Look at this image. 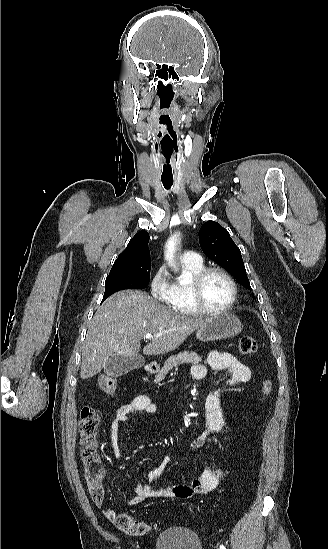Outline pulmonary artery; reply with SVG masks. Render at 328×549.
I'll list each match as a JSON object with an SVG mask.
<instances>
[{
  "mask_svg": "<svg viewBox=\"0 0 328 549\" xmlns=\"http://www.w3.org/2000/svg\"><path fill=\"white\" fill-rule=\"evenodd\" d=\"M197 255L195 252L190 250H184L181 254V258L184 260H194L197 258Z\"/></svg>",
  "mask_w": 328,
  "mask_h": 549,
  "instance_id": "1",
  "label": "pulmonary artery"
}]
</instances>
